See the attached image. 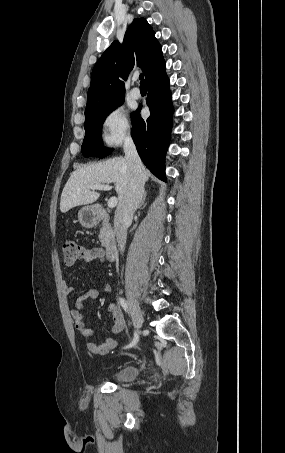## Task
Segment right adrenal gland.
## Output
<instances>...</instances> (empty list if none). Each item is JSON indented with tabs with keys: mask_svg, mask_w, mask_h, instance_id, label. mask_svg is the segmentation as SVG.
<instances>
[{
	"mask_svg": "<svg viewBox=\"0 0 285 453\" xmlns=\"http://www.w3.org/2000/svg\"><path fill=\"white\" fill-rule=\"evenodd\" d=\"M146 195H147V193L145 191L144 194H143V198L141 200V203L138 206L139 209L142 208V206L144 205V202H145V199H146Z\"/></svg>",
	"mask_w": 285,
	"mask_h": 453,
	"instance_id": "obj_1",
	"label": "right adrenal gland"
}]
</instances>
